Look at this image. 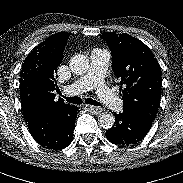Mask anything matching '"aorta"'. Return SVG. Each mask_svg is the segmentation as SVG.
Segmentation results:
<instances>
[{"mask_svg":"<svg viewBox=\"0 0 183 183\" xmlns=\"http://www.w3.org/2000/svg\"><path fill=\"white\" fill-rule=\"evenodd\" d=\"M89 59L87 56L77 54L70 59V69L76 75H83L89 69ZM115 123V118L112 114L103 113L99 117V124L104 129H110Z\"/></svg>","mask_w":183,"mask_h":183,"instance_id":"obj_1","label":"aorta"}]
</instances>
